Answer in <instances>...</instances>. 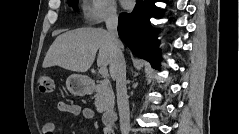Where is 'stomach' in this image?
Instances as JSON below:
<instances>
[{
    "label": "stomach",
    "instance_id": "stomach-1",
    "mask_svg": "<svg viewBox=\"0 0 239 134\" xmlns=\"http://www.w3.org/2000/svg\"><path fill=\"white\" fill-rule=\"evenodd\" d=\"M66 86L69 92L76 96H83L90 90L88 78L80 74L70 75L66 80Z\"/></svg>",
    "mask_w": 239,
    "mask_h": 134
}]
</instances>
